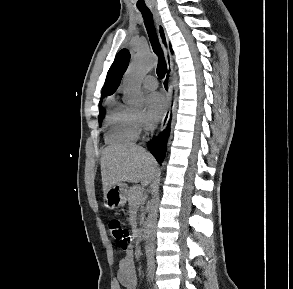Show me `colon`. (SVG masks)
I'll return each mask as SVG.
<instances>
[{"instance_id":"obj_1","label":"colon","mask_w":293,"mask_h":289,"mask_svg":"<svg viewBox=\"0 0 293 289\" xmlns=\"http://www.w3.org/2000/svg\"><path fill=\"white\" fill-rule=\"evenodd\" d=\"M109 230L119 248L126 251L130 247L131 235L129 230L119 220L112 219L108 223Z\"/></svg>"}]
</instances>
